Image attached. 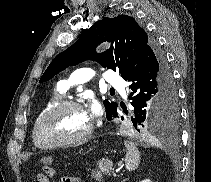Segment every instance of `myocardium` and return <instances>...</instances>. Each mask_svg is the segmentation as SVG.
<instances>
[{
  "label": "myocardium",
  "mask_w": 211,
  "mask_h": 182,
  "mask_svg": "<svg viewBox=\"0 0 211 182\" xmlns=\"http://www.w3.org/2000/svg\"><path fill=\"white\" fill-rule=\"evenodd\" d=\"M79 108L85 111L83 105L79 102L73 101V100H62L56 103L54 106H52L50 109H48L45 113L41 115V117L38 119L35 128H34V137L37 145L41 148H56L66 145H77L84 143L87 141L93 131H94V124L93 122L90 123L88 129L80 136L71 138V139H64V140H57V141H47L42 134V128L45 125V123L50 119L52 116L57 114L58 112L66 109V108Z\"/></svg>",
  "instance_id": "f54148a6"
}]
</instances>
